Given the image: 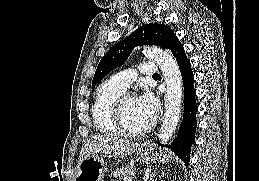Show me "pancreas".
Masks as SVG:
<instances>
[{
	"mask_svg": "<svg viewBox=\"0 0 259 181\" xmlns=\"http://www.w3.org/2000/svg\"><path fill=\"white\" fill-rule=\"evenodd\" d=\"M132 173H134V168L133 167H122L120 169L115 170L112 175L115 178H120V179H125L129 177Z\"/></svg>",
	"mask_w": 259,
	"mask_h": 181,
	"instance_id": "1",
	"label": "pancreas"
}]
</instances>
